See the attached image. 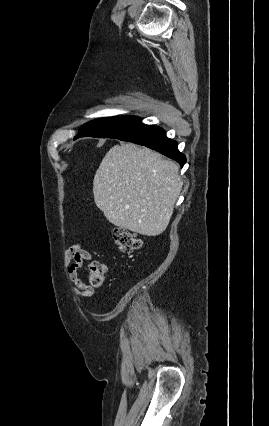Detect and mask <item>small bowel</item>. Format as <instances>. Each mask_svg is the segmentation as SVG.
<instances>
[{"instance_id":"small-bowel-1","label":"small bowel","mask_w":269,"mask_h":426,"mask_svg":"<svg viewBox=\"0 0 269 426\" xmlns=\"http://www.w3.org/2000/svg\"><path fill=\"white\" fill-rule=\"evenodd\" d=\"M93 257L89 250L80 242L73 244L65 253L66 273L73 283V290L76 295L82 298L92 299L95 287L82 280L78 271L86 261H92Z\"/></svg>"}]
</instances>
